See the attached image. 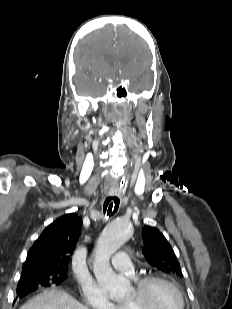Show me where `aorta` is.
Here are the masks:
<instances>
[{"label": "aorta", "instance_id": "1", "mask_svg": "<svg viewBox=\"0 0 232 309\" xmlns=\"http://www.w3.org/2000/svg\"><path fill=\"white\" fill-rule=\"evenodd\" d=\"M132 229L128 222L114 219L103 230L94 251L93 270L99 284L111 300H122L130 289L129 281L117 276L110 267L111 256L131 237Z\"/></svg>", "mask_w": 232, "mask_h": 309}]
</instances>
